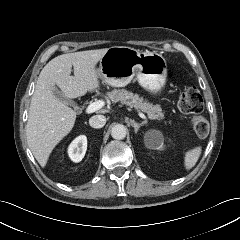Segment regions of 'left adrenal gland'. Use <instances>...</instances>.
Here are the masks:
<instances>
[{"instance_id": "obj_1", "label": "left adrenal gland", "mask_w": 240, "mask_h": 240, "mask_svg": "<svg viewBox=\"0 0 240 240\" xmlns=\"http://www.w3.org/2000/svg\"><path fill=\"white\" fill-rule=\"evenodd\" d=\"M130 123H131V126L134 127L135 133H137L138 130H139V128H140L141 126H143L144 124H146V121H143V122H141V123H137V122H135L134 120H130Z\"/></svg>"}]
</instances>
